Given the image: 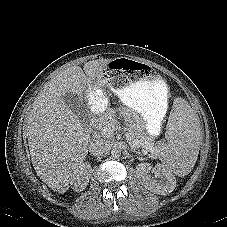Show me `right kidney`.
Masks as SVG:
<instances>
[{"instance_id": "ca27d5eb", "label": "right kidney", "mask_w": 227, "mask_h": 227, "mask_svg": "<svg viewBox=\"0 0 227 227\" xmlns=\"http://www.w3.org/2000/svg\"><path fill=\"white\" fill-rule=\"evenodd\" d=\"M91 165L89 163H82L77 169H75L70 178V185L76 192L83 191L91 176Z\"/></svg>"}]
</instances>
